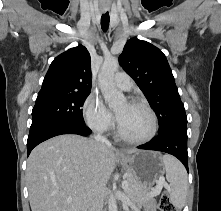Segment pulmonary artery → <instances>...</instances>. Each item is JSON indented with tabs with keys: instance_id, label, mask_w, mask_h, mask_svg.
Segmentation results:
<instances>
[{
	"instance_id": "e3ab8cb5",
	"label": "pulmonary artery",
	"mask_w": 221,
	"mask_h": 211,
	"mask_svg": "<svg viewBox=\"0 0 221 211\" xmlns=\"http://www.w3.org/2000/svg\"><path fill=\"white\" fill-rule=\"evenodd\" d=\"M114 84L119 89H122L124 91H128L131 89V87L133 85V81L127 73L118 72V73H116V75L114 77Z\"/></svg>"
}]
</instances>
